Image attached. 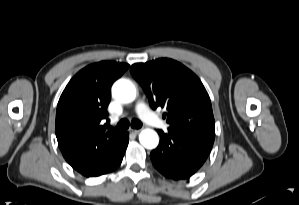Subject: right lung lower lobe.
Instances as JSON below:
<instances>
[{"label": "right lung lower lobe", "instance_id": "98d812e1", "mask_svg": "<svg viewBox=\"0 0 299 205\" xmlns=\"http://www.w3.org/2000/svg\"><path fill=\"white\" fill-rule=\"evenodd\" d=\"M128 133H123L120 144L102 161L95 164L91 170L85 174L86 177H95L105 175L114 171L122 162L124 153L128 145Z\"/></svg>", "mask_w": 299, "mask_h": 205}]
</instances>
